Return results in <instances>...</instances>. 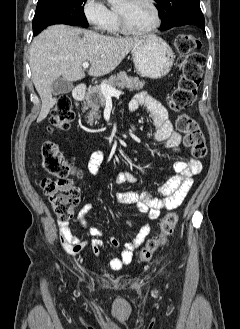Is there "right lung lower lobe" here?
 <instances>
[{
  "mask_svg": "<svg viewBox=\"0 0 240 329\" xmlns=\"http://www.w3.org/2000/svg\"><path fill=\"white\" fill-rule=\"evenodd\" d=\"M47 26L49 25H44V26H41L39 28H37L36 30L33 31V35L36 36L38 33H40L43 29H45Z\"/></svg>",
  "mask_w": 240,
  "mask_h": 329,
  "instance_id": "1",
  "label": "right lung lower lobe"
}]
</instances>
